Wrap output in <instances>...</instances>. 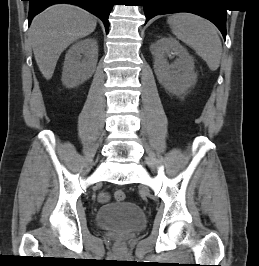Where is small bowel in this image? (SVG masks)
Listing matches in <instances>:
<instances>
[{
	"label": "small bowel",
	"mask_w": 259,
	"mask_h": 266,
	"mask_svg": "<svg viewBox=\"0 0 259 266\" xmlns=\"http://www.w3.org/2000/svg\"><path fill=\"white\" fill-rule=\"evenodd\" d=\"M99 199H100V201H102V202H106V201H108V199H109V195H108L107 193H101V194L99 195Z\"/></svg>",
	"instance_id": "small-bowel-1"
}]
</instances>
